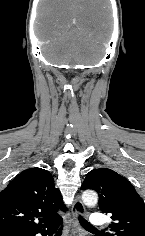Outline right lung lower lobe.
<instances>
[{"mask_svg":"<svg viewBox=\"0 0 145 236\" xmlns=\"http://www.w3.org/2000/svg\"><path fill=\"white\" fill-rule=\"evenodd\" d=\"M62 224V219H59L51 224H49L48 226L41 228L37 231L34 232H29V233H24V234H16V235H12V236H35L37 233H41L42 236H51L55 230V228L59 225ZM61 232L59 231L57 233V236H60Z\"/></svg>","mask_w":145,"mask_h":236,"instance_id":"98d812e1","label":"right lung lower lobe"}]
</instances>
